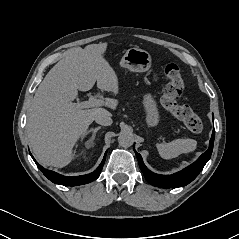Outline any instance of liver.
I'll return each mask as SVG.
<instances>
[{
    "label": "liver",
    "mask_w": 239,
    "mask_h": 239,
    "mask_svg": "<svg viewBox=\"0 0 239 239\" xmlns=\"http://www.w3.org/2000/svg\"><path fill=\"white\" fill-rule=\"evenodd\" d=\"M107 43L70 49L45 76L29 110L27 135L38 161L63 168L74 157L73 147L103 108L77 109L78 90L88 91L97 81L101 90L118 94V77L104 58ZM118 101L106 99L116 109Z\"/></svg>",
    "instance_id": "1"
}]
</instances>
